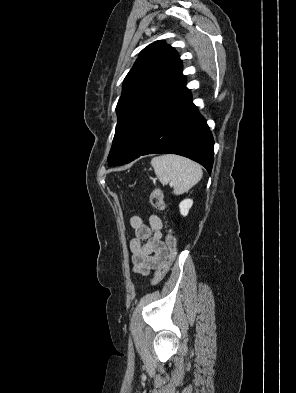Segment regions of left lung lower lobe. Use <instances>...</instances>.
I'll use <instances>...</instances> for the list:
<instances>
[{
	"instance_id": "left-lung-lower-lobe-1",
	"label": "left lung lower lobe",
	"mask_w": 296,
	"mask_h": 393,
	"mask_svg": "<svg viewBox=\"0 0 296 393\" xmlns=\"http://www.w3.org/2000/svg\"><path fill=\"white\" fill-rule=\"evenodd\" d=\"M152 153L188 157L211 173L214 141L205 119L185 88L151 123L125 163Z\"/></svg>"
}]
</instances>
